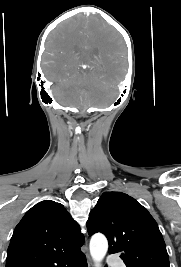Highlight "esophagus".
Segmentation results:
<instances>
[{
	"label": "esophagus",
	"instance_id": "1",
	"mask_svg": "<svg viewBox=\"0 0 181 267\" xmlns=\"http://www.w3.org/2000/svg\"><path fill=\"white\" fill-rule=\"evenodd\" d=\"M87 262H88V267H93L92 260L88 254H87Z\"/></svg>",
	"mask_w": 181,
	"mask_h": 267
}]
</instances>
